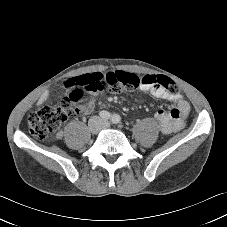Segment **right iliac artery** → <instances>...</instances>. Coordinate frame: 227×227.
<instances>
[{
  "instance_id": "82829eb1",
  "label": "right iliac artery",
  "mask_w": 227,
  "mask_h": 227,
  "mask_svg": "<svg viewBox=\"0 0 227 227\" xmlns=\"http://www.w3.org/2000/svg\"><path fill=\"white\" fill-rule=\"evenodd\" d=\"M99 116L102 118V119H109L111 117V114L108 112V111H100L99 112Z\"/></svg>"
}]
</instances>
